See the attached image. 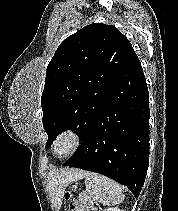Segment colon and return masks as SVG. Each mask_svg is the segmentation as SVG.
<instances>
[{
  "label": "colon",
  "mask_w": 178,
  "mask_h": 211,
  "mask_svg": "<svg viewBox=\"0 0 178 211\" xmlns=\"http://www.w3.org/2000/svg\"><path fill=\"white\" fill-rule=\"evenodd\" d=\"M74 190H77V186H74ZM65 198L69 202V211H79L72 200V193H66Z\"/></svg>",
  "instance_id": "obj_1"
}]
</instances>
